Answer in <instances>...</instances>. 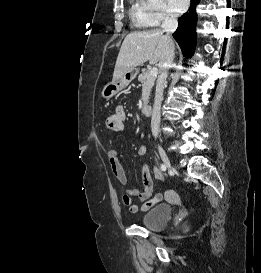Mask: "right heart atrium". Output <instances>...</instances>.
Masks as SVG:
<instances>
[{"mask_svg": "<svg viewBox=\"0 0 261 273\" xmlns=\"http://www.w3.org/2000/svg\"><path fill=\"white\" fill-rule=\"evenodd\" d=\"M141 23L145 27H156L175 18L174 11L165 0H139Z\"/></svg>", "mask_w": 261, "mask_h": 273, "instance_id": "1", "label": "right heart atrium"}]
</instances>
